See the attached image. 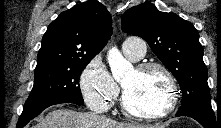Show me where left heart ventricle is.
Returning <instances> with one entry per match:
<instances>
[{
	"label": "left heart ventricle",
	"instance_id": "b2bd125f",
	"mask_svg": "<svg viewBox=\"0 0 221 128\" xmlns=\"http://www.w3.org/2000/svg\"><path fill=\"white\" fill-rule=\"evenodd\" d=\"M122 84L126 102L133 111H157L165 106L168 85L160 72L133 70Z\"/></svg>",
	"mask_w": 221,
	"mask_h": 128
}]
</instances>
